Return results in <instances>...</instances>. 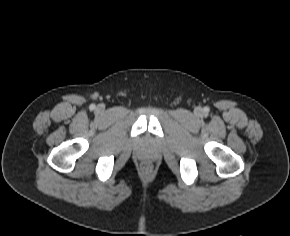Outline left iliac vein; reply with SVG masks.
Here are the masks:
<instances>
[{"mask_svg": "<svg viewBox=\"0 0 290 236\" xmlns=\"http://www.w3.org/2000/svg\"><path fill=\"white\" fill-rule=\"evenodd\" d=\"M197 113H198V114H201V109H198V110H197Z\"/></svg>", "mask_w": 290, "mask_h": 236, "instance_id": "4c4485c4", "label": "left iliac vein"}]
</instances>
